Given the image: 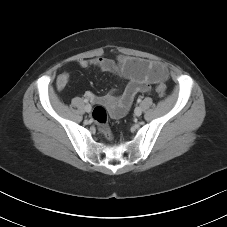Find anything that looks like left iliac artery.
<instances>
[{
    "label": "left iliac artery",
    "instance_id": "obj_1",
    "mask_svg": "<svg viewBox=\"0 0 227 227\" xmlns=\"http://www.w3.org/2000/svg\"><path fill=\"white\" fill-rule=\"evenodd\" d=\"M137 102H138V103H140V102H141V99H140V98H138V99H137Z\"/></svg>",
    "mask_w": 227,
    "mask_h": 227
}]
</instances>
